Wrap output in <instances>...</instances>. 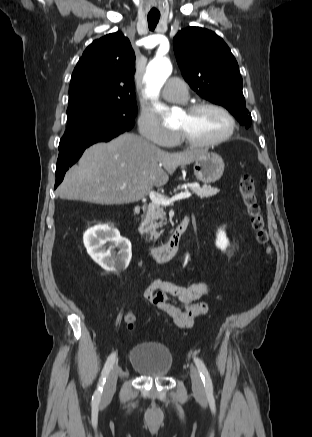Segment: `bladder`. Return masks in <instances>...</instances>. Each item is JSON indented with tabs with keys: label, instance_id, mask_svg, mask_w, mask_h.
<instances>
[{
	"label": "bladder",
	"instance_id": "31cf9c89",
	"mask_svg": "<svg viewBox=\"0 0 312 437\" xmlns=\"http://www.w3.org/2000/svg\"><path fill=\"white\" fill-rule=\"evenodd\" d=\"M129 365L145 377L162 379L172 370L173 355L162 343H139L130 350Z\"/></svg>",
	"mask_w": 312,
	"mask_h": 437
}]
</instances>
